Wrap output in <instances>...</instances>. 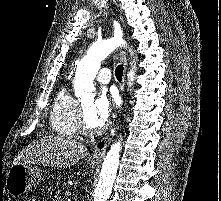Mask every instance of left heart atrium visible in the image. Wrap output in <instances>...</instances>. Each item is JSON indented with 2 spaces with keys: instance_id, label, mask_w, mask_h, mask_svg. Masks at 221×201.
<instances>
[{
  "instance_id": "39dd6f15",
  "label": "left heart atrium",
  "mask_w": 221,
  "mask_h": 201,
  "mask_svg": "<svg viewBox=\"0 0 221 201\" xmlns=\"http://www.w3.org/2000/svg\"><path fill=\"white\" fill-rule=\"evenodd\" d=\"M116 103L114 95L102 93L93 103L92 114L102 125L105 124L112 114Z\"/></svg>"
}]
</instances>
